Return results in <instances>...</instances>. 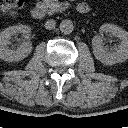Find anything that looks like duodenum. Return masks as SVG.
I'll use <instances>...</instances> for the list:
<instances>
[{"mask_svg": "<svg viewBox=\"0 0 128 128\" xmlns=\"http://www.w3.org/2000/svg\"><path fill=\"white\" fill-rule=\"evenodd\" d=\"M77 11L81 14H86L89 12L90 8H89V5L85 2H80L78 5H77ZM45 9L42 5H36L32 8L31 10V15L34 19H37V20H40V19H43L45 17Z\"/></svg>", "mask_w": 128, "mask_h": 128, "instance_id": "duodenum-1", "label": "duodenum"}]
</instances>
